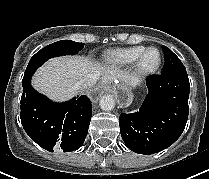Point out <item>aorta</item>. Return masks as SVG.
I'll list each match as a JSON object with an SVG mask.
<instances>
[{
    "mask_svg": "<svg viewBox=\"0 0 209 179\" xmlns=\"http://www.w3.org/2000/svg\"><path fill=\"white\" fill-rule=\"evenodd\" d=\"M100 107L104 111H110L115 107V100L111 95H103L100 99Z\"/></svg>",
    "mask_w": 209,
    "mask_h": 179,
    "instance_id": "762f6f07",
    "label": "aorta"
}]
</instances>
